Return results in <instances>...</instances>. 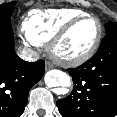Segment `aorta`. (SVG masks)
<instances>
[{
	"instance_id": "aorta-1",
	"label": "aorta",
	"mask_w": 117,
	"mask_h": 117,
	"mask_svg": "<svg viewBox=\"0 0 117 117\" xmlns=\"http://www.w3.org/2000/svg\"><path fill=\"white\" fill-rule=\"evenodd\" d=\"M45 84L49 88H58L61 91L71 86V77L58 69L48 71L44 77Z\"/></svg>"
}]
</instances>
